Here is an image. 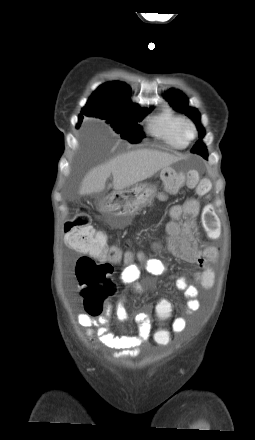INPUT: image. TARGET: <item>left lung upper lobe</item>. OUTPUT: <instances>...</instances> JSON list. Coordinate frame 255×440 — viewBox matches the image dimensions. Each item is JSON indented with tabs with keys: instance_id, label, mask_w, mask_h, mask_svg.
Wrapping results in <instances>:
<instances>
[{
	"instance_id": "5c2ea615",
	"label": "left lung upper lobe",
	"mask_w": 255,
	"mask_h": 440,
	"mask_svg": "<svg viewBox=\"0 0 255 440\" xmlns=\"http://www.w3.org/2000/svg\"><path fill=\"white\" fill-rule=\"evenodd\" d=\"M166 99L169 102V104L174 107V109L185 113L187 116H189L196 124L197 129L199 131V137L203 138L205 135L204 128L199 123L200 120V114L197 111V109L189 107L187 98L178 90H169L166 93ZM191 152L197 153L201 155L203 158L207 159L208 153L206 146L202 143L201 140L197 141L196 144L191 149Z\"/></svg>"
}]
</instances>
